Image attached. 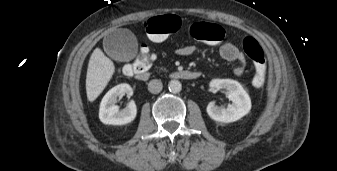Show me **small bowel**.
Segmentation results:
<instances>
[{
    "instance_id": "1",
    "label": "small bowel",
    "mask_w": 337,
    "mask_h": 171,
    "mask_svg": "<svg viewBox=\"0 0 337 171\" xmlns=\"http://www.w3.org/2000/svg\"><path fill=\"white\" fill-rule=\"evenodd\" d=\"M194 52V47L192 45H184L177 49V54L181 56H188ZM220 56L228 62H237L238 65L234 69L236 75H241L246 66L247 58L243 52L230 40H226L219 48Z\"/></svg>"
}]
</instances>
